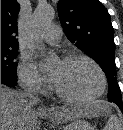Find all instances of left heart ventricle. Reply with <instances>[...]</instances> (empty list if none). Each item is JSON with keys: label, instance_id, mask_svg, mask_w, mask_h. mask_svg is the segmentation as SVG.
<instances>
[{"label": "left heart ventricle", "instance_id": "b2bd125f", "mask_svg": "<svg viewBox=\"0 0 123 130\" xmlns=\"http://www.w3.org/2000/svg\"><path fill=\"white\" fill-rule=\"evenodd\" d=\"M57 87L72 97H88L100 87V77L96 69L84 60L56 61L50 69Z\"/></svg>", "mask_w": 123, "mask_h": 130}]
</instances>
